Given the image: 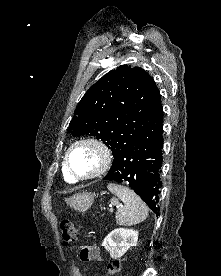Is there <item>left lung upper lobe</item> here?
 Returning <instances> with one entry per match:
<instances>
[{"label":"left lung upper lobe","mask_w":221,"mask_h":276,"mask_svg":"<svg viewBox=\"0 0 221 276\" xmlns=\"http://www.w3.org/2000/svg\"><path fill=\"white\" fill-rule=\"evenodd\" d=\"M161 112L160 93L151 76L142 68L121 65L85 93L69 133L95 136L115 155Z\"/></svg>","instance_id":"5c2ea615"}]
</instances>
